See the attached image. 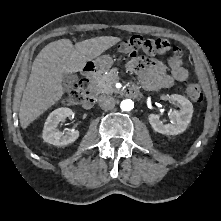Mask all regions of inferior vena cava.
I'll list each match as a JSON object with an SVG mask.
<instances>
[{"instance_id": "602c4592", "label": "inferior vena cava", "mask_w": 221, "mask_h": 221, "mask_svg": "<svg viewBox=\"0 0 221 221\" xmlns=\"http://www.w3.org/2000/svg\"><path fill=\"white\" fill-rule=\"evenodd\" d=\"M99 105L104 110H110L115 107V100L112 96L102 95L99 97Z\"/></svg>"}]
</instances>
